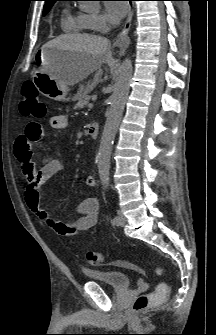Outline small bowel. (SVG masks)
<instances>
[{"label":"small bowel","instance_id":"1","mask_svg":"<svg viewBox=\"0 0 216 335\" xmlns=\"http://www.w3.org/2000/svg\"><path fill=\"white\" fill-rule=\"evenodd\" d=\"M68 119L65 115L59 114L51 117L50 124L54 129H62L67 126ZM43 125L40 120H31L25 124L24 134L21 135L16 144V155L20 163L21 172L25 178L24 198L28 208L48 228L59 235L70 236L89 230L97 224L99 205L94 197L83 200L77 206L78 216L70 221H62L53 217L41 207V200L46 198L43 190L45 183L62 169L60 160L50 157L43 160V166L36 168L33 143H38L44 137ZM27 135V136H25ZM88 187L96 183L94 176L89 175L84 179Z\"/></svg>","mask_w":216,"mask_h":335}]
</instances>
